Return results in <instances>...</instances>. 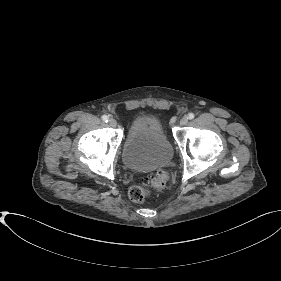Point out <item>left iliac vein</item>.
Returning <instances> with one entry per match:
<instances>
[{
    "label": "left iliac vein",
    "instance_id": "1",
    "mask_svg": "<svg viewBox=\"0 0 281 281\" xmlns=\"http://www.w3.org/2000/svg\"><path fill=\"white\" fill-rule=\"evenodd\" d=\"M179 123L181 126H185L188 123V118L186 116L182 117Z\"/></svg>",
    "mask_w": 281,
    "mask_h": 281
}]
</instances>
